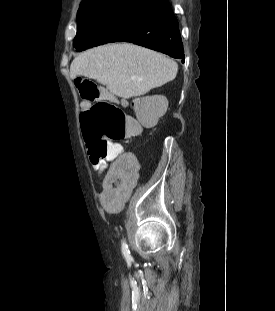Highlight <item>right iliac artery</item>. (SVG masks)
<instances>
[{
    "label": "right iliac artery",
    "instance_id": "1",
    "mask_svg": "<svg viewBox=\"0 0 275 311\" xmlns=\"http://www.w3.org/2000/svg\"><path fill=\"white\" fill-rule=\"evenodd\" d=\"M122 253L127 261H130L132 259L128 245L126 244L125 240L122 242Z\"/></svg>",
    "mask_w": 275,
    "mask_h": 311
}]
</instances>
